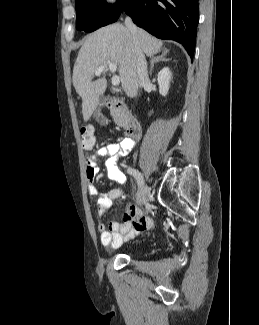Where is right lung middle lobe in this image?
I'll return each instance as SVG.
<instances>
[{
  "mask_svg": "<svg viewBox=\"0 0 259 325\" xmlns=\"http://www.w3.org/2000/svg\"><path fill=\"white\" fill-rule=\"evenodd\" d=\"M127 0L108 5L105 0H76V26L78 30L92 32L114 23Z\"/></svg>",
  "mask_w": 259,
  "mask_h": 325,
  "instance_id": "right-lung-middle-lobe-1",
  "label": "right lung middle lobe"
}]
</instances>
